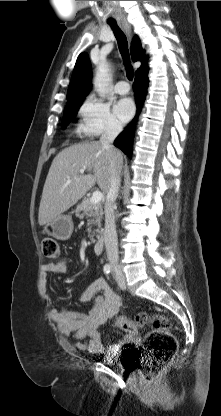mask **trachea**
<instances>
[{
    "instance_id": "obj_1",
    "label": "trachea",
    "mask_w": 221,
    "mask_h": 416,
    "mask_svg": "<svg viewBox=\"0 0 221 416\" xmlns=\"http://www.w3.org/2000/svg\"><path fill=\"white\" fill-rule=\"evenodd\" d=\"M109 25L111 26L114 35L117 39L118 42V47L120 50V53L122 55L123 58V63L126 67V75L127 78L129 80H133V67L131 66V62H130V55H129V50H128V42H127V38L125 36V34L123 33V31L119 28V26L117 25L116 22H109Z\"/></svg>"
}]
</instances>
